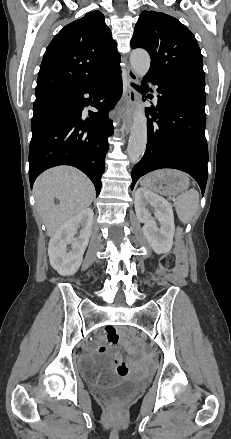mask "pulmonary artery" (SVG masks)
<instances>
[{"instance_id": "pulmonary-artery-1", "label": "pulmonary artery", "mask_w": 231, "mask_h": 439, "mask_svg": "<svg viewBox=\"0 0 231 439\" xmlns=\"http://www.w3.org/2000/svg\"><path fill=\"white\" fill-rule=\"evenodd\" d=\"M152 87H153L154 89H156V86H155V85H152ZM155 95H157V92H155Z\"/></svg>"}]
</instances>
